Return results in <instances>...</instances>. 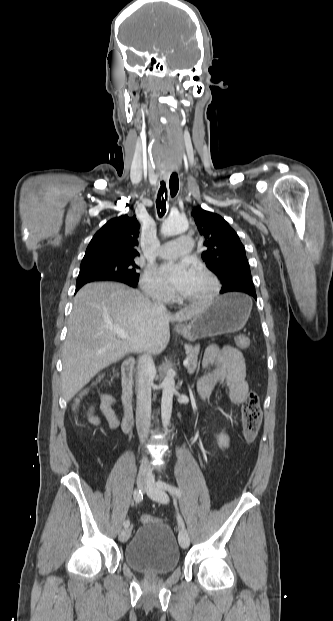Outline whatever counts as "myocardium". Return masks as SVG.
Wrapping results in <instances>:
<instances>
[{"mask_svg": "<svg viewBox=\"0 0 333 621\" xmlns=\"http://www.w3.org/2000/svg\"><path fill=\"white\" fill-rule=\"evenodd\" d=\"M194 270L203 274L209 279L212 285L210 292L207 293L206 295L198 296V297H183V296L178 295L177 299L181 302L191 303V304H204V303L211 302L218 296L221 290V285H220V281L218 277L211 269H209L207 266L203 264H196L194 266Z\"/></svg>", "mask_w": 333, "mask_h": 621, "instance_id": "myocardium-1", "label": "myocardium"}]
</instances>
